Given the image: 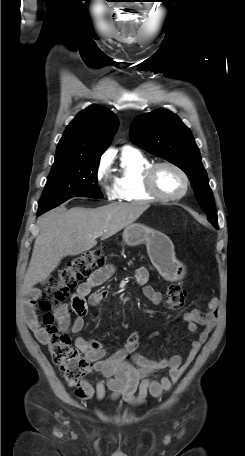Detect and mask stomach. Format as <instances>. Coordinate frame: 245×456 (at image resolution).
<instances>
[{
	"mask_svg": "<svg viewBox=\"0 0 245 456\" xmlns=\"http://www.w3.org/2000/svg\"><path fill=\"white\" fill-rule=\"evenodd\" d=\"M118 240L128 246L146 244L151 262L165 279L177 280L184 274L183 265L176 259L171 241L163 233L134 223L124 230Z\"/></svg>",
	"mask_w": 245,
	"mask_h": 456,
	"instance_id": "stomach-1",
	"label": "stomach"
}]
</instances>
